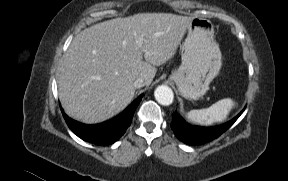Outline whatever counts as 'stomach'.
<instances>
[{
	"instance_id": "1",
	"label": "stomach",
	"mask_w": 288,
	"mask_h": 181,
	"mask_svg": "<svg viewBox=\"0 0 288 181\" xmlns=\"http://www.w3.org/2000/svg\"><path fill=\"white\" fill-rule=\"evenodd\" d=\"M181 50L182 63L172 72L180 94L187 99H199L218 75L222 54L214 40V26L206 18L193 17Z\"/></svg>"
}]
</instances>
